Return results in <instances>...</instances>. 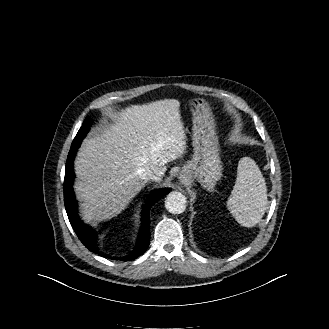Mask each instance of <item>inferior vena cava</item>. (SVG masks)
I'll use <instances>...</instances> for the list:
<instances>
[{
  "label": "inferior vena cava",
  "mask_w": 329,
  "mask_h": 329,
  "mask_svg": "<svg viewBox=\"0 0 329 329\" xmlns=\"http://www.w3.org/2000/svg\"><path fill=\"white\" fill-rule=\"evenodd\" d=\"M140 177L145 182H148L150 180H152V181H159L160 180V177H161V173L157 169L147 168V169H144L141 172Z\"/></svg>",
  "instance_id": "602c4592"
}]
</instances>
